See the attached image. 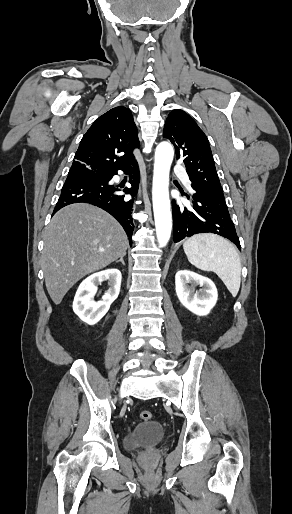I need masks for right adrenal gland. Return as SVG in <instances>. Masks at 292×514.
Returning a JSON list of instances; mask_svg holds the SVG:
<instances>
[{
    "label": "right adrenal gland",
    "mask_w": 292,
    "mask_h": 514,
    "mask_svg": "<svg viewBox=\"0 0 292 514\" xmlns=\"http://www.w3.org/2000/svg\"><path fill=\"white\" fill-rule=\"evenodd\" d=\"M123 258H124V256H122V258H120V260H117V262H121V264H123V266H125V262H124ZM117 262H116V264H117Z\"/></svg>",
    "instance_id": "right-adrenal-gland-1"
}]
</instances>
